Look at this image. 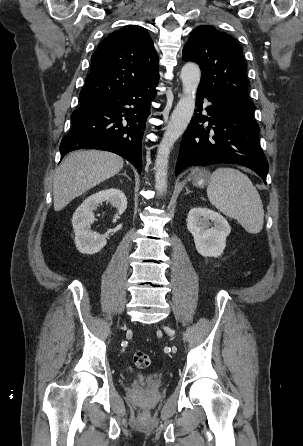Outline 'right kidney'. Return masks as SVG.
Returning a JSON list of instances; mask_svg holds the SVG:
<instances>
[{
  "label": "right kidney",
  "mask_w": 303,
  "mask_h": 446,
  "mask_svg": "<svg viewBox=\"0 0 303 446\" xmlns=\"http://www.w3.org/2000/svg\"><path fill=\"white\" fill-rule=\"evenodd\" d=\"M108 201L116 208L118 214H122L127 207V199L124 193L115 188L99 191L88 198L76 209L72 217V225L75 233V245L83 254H95L107 243L106 237L91 231L94 221L93 211L102 202Z\"/></svg>",
  "instance_id": "1"
}]
</instances>
